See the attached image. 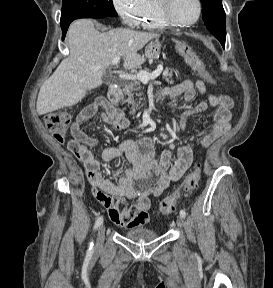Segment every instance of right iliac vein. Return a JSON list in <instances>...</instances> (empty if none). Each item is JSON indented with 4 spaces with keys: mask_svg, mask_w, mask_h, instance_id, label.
<instances>
[{
    "mask_svg": "<svg viewBox=\"0 0 273 288\" xmlns=\"http://www.w3.org/2000/svg\"><path fill=\"white\" fill-rule=\"evenodd\" d=\"M104 237H105V226L104 225H101L99 228H98V233H97V248H101L102 245H103V242H104Z\"/></svg>",
    "mask_w": 273,
    "mask_h": 288,
    "instance_id": "1",
    "label": "right iliac vein"
}]
</instances>
